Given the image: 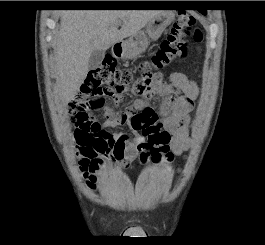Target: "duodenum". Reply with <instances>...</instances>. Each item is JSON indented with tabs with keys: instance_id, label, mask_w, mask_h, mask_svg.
<instances>
[{
	"instance_id": "410a0bca",
	"label": "duodenum",
	"mask_w": 265,
	"mask_h": 245,
	"mask_svg": "<svg viewBox=\"0 0 265 245\" xmlns=\"http://www.w3.org/2000/svg\"><path fill=\"white\" fill-rule=\"evenodd\" d=\"M123 51H124V49H123L122 42H117L112 47V53H113V55L115 57L119 58V59L123 57Z\"/></svg>"
}]
</instances>
